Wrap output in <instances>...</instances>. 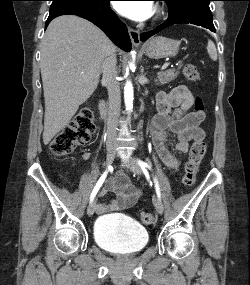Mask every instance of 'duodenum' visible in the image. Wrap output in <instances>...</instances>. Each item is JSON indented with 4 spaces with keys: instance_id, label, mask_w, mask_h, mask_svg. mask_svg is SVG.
<instances>
[{
    "instance_id": "410a0bca",
    "label": "duodenum",
    "mask_w": 250,
    "mask_h": 285,
    "mask_svg": "<svg viewBox=\"0 0 250 285\" xmlns=\"http://www.w3.org/2000/svg\"><path fill=\"white\" fill-rule=\"evenodd\" d=\"M100 112H101V115H102V116H105V113H106V105H105V102H104V101H101V103H100Z\"/></svg>"
}]
</instances>
